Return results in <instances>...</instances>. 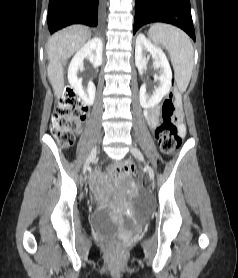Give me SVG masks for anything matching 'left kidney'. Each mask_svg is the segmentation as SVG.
<instances>
[{
    "instance_id": "1",
    "label": "left kidney",
    "mask_w": 238,
    "mask_h": 278,
    "mask_svg": "<svg viewBox=\"0 0 238 278\" xmlns=\"http://www.w3.org/2000/svg\"><path fill=\"white\" fill-rule=\"evenodd\" d=\"M150 57L153 59V68L159 70V75L156 77L159 85L152 94H147L146 84L140 87V105L144 109L155 107L169 93L172 84V71L162 49L153 45L143 34H139L136 38L135 65L141 75L146 70Z\"/></svg>"
}]
</instances>
